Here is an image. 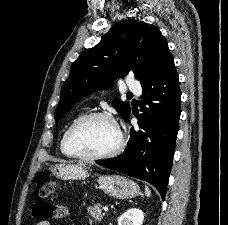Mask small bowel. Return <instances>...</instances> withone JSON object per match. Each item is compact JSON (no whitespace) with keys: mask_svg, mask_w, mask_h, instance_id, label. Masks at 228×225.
Masks as SVG:
<instances>
[{"mask_svg":"<svg viewBox=\"0 0 228 225\" xmlns=\"http://www.w3.org/2000/svg\"><path fill=\"white\" fill-rule=\"evenodd\" d=\"M39 204H32L34 218H65L69 215V209L58 203L49 204V199H39ZM53 212V213H52ZM37 225H51L48 219L40 220Z\"/></svg>","mask_w":228,"mask_h":225,"instance_id":"small-bowel-1","label":"small bowel"}]
</instances>
